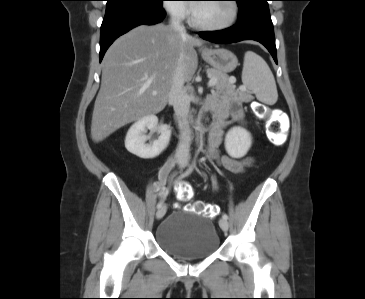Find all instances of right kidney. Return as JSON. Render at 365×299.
Listing matches in <instances>:
<instances>
[{
	"label": "right kidney",
	"instance_id": "obj_1",
	"mask_svg": "<svg viewBox=\"0 0 365 299\" xmlns=\"http://www.w3.org/2000/svg\"><path fill=\"white\" fill-rule=\"evenodd\" d=\"M158 118L155 115H148L135 122L127 132L125 138L126 149L143 159L154 158L158 156L169 144L171 130L168 125H163L157 129ZM156 130L160 133L157 140L146 144L148 137L145 135L146 130Z\"/></svg>",
	"mask_w": 365,
	"mask_h": 299
}]
</instances>
